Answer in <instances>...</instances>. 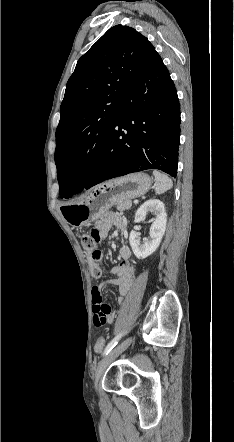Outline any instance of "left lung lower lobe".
<instances>
[{
  "mask_svg": "<svg viewBox=\"0 0 234 442\" xmlns=\"http://www.w3.org/2000/svg\"><path fill=\"white\" fill-rule=\"evenodd\" d=\"M179 136L176 89L154 51L124 95L100 159L84 188L147 169H159L176 177Z\"/></svg>",
  "mask_w": 234,
  "mask_h": 442,
  "instance_id": "obj_1",
  "label": "left lung lower lobe"
}]
</instances>
